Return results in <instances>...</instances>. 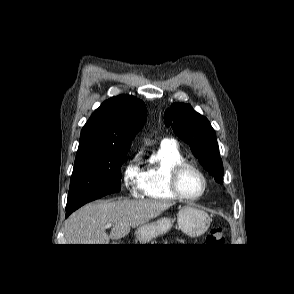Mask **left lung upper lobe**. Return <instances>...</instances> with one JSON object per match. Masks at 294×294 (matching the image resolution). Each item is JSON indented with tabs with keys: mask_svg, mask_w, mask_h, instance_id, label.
Instances as JSON below:
<instances>
[{
	"mask_svg": "<svg viewBox=\"0 0 294 294\" xmlns=\"http://www.w3.org/2000/svg\"><path fill=\"white\" fill-rule=\"evenodd\" d=\"M165 125L186 142L202 166L218 183H223V164L216 134L207 118L184 103H173L164 114Z\"/></svg>",
	"mask_w": 294,
	"mask_h": 294,
	"instance_id": "left-lung-upper-lobe-1",
	"label": "left lung upper lobe"
}]
</instances>
